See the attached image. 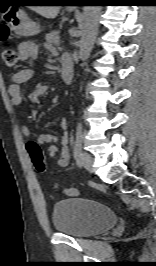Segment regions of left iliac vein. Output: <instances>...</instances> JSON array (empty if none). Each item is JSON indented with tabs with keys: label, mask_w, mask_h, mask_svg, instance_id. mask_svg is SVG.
<instances>
[{
	"label": "left iliac vein",
	"mask_w": 156,
	"mask_h": 266,
	"mask_svg": "<svg viewBox=\"0 0 156 266\" xmlns=\"http://www.w3.org/2000/svg\"><path fill=\"white\" fill-rule=\"evenodd\" d=\"M80 164L89 172L93 171V158L90 154L83 152L80 157Z\"/></svg>",
	"instance_id": "left-iliac-vein-1"
}]
</instances>
